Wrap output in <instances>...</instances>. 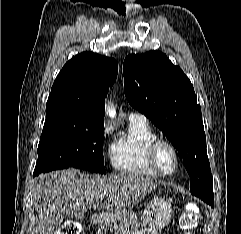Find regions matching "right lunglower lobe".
Masks as SVG:
<instances>
[{
  "mask_svg": "<svg viewBox=\"0 0 241 234\" xmlns=\"http://www.w3.org/2000/svg\"><path fill=\"white\" fill-rule=\"evenodd\" d=\"M40 174H37V173H33V177L35 178V177H37V176H39Z\"/></svg>",
  "mask_w": 241,
  "mask_h": 234,
  "instance_id": "98d812e1",
  "label": "right lung lower lobe"
}]
</instances>
